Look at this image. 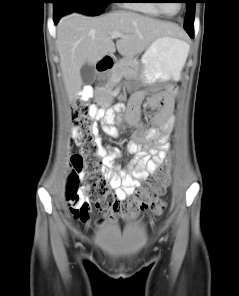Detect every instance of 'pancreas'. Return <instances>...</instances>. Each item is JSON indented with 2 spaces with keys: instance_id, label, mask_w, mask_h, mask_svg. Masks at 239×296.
Here are the masks:
<instances>
[{
  "instance_id": "obj_1",
  "label": "pancreas",
  "mask_w": 239,
  "mask_h": 296,
  "mask_svg": "<svg viewBox=\"0 0 239 296\" xmlns=\"http://www.w3.org/2000/svg\"><path fill=\"white\" fill-rule=\"evenodd\" d=\"M141 75V67L137 60L124 58L115 63L109 72L108 82L105 86L97 87L95 94L97 98L109 102L113 87L121 80L122 77H139Z\"/></svg>"
}]
</instances>
